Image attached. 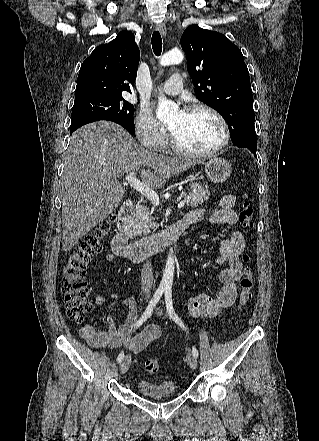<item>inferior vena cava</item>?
I'll return each instance as SVG.
<instances>
[{
	"label": "inferior vena cava",
	"instance_id": "obj_1",
	"mask_svg": "<svg viewBox=\"0 0 319 441\" xmlns=\"http://www.w3.org/2000/svg\"><path fill=\"white\" fill-rule=\"evenodd\" d=\"M153 270L150 262H146L141 270V284L142 292L145 296L150 297L152 294L153 285Z\"/></svg>",
	"mask_w": 319,
	"mask_h": 441
}]
</instances>
